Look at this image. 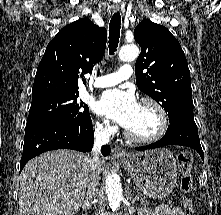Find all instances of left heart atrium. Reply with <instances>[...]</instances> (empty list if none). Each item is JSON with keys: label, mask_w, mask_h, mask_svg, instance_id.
Instances as JSON below:
<instances>
[{"label": "left heart atrium", "mask_w": 221, "mask_h": 215, "mask_svg": "<svg viewBox=\"0 0 221 215\" xmlns=\"http://www.w3.org/2000/svg\"><path fill=\"white\" fill-rule=\"evenodd\" d=\"M138 102L134 96L118 89H112L102 94L96 104V111L127 128L137 111Z\"/></svg>", "instance_id": "39dd6f15"}]
</instances>
